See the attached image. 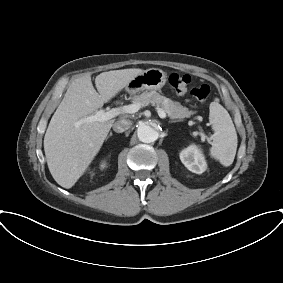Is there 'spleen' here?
<instances>
[{"instance_id": "1", "label": "spleen", "mask_w": 283, "mask_h": 283, "mask_svg": "<svg viewBox=\"0 0 283 283\" xmlns=\"http://www.w3.org/2000/svg\"><path fill=\"white\" fill-rule=\"evenodd\" d=\"M209 121L214 130L210 155L223 166H230L237 150V133L227 110L218 102L210 104Z\"/></svg>"}]
</instances>
